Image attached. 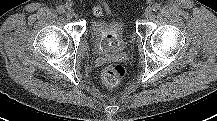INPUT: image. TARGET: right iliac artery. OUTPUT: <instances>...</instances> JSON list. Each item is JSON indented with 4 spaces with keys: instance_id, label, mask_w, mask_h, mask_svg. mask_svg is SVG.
Masks as SVG:
<instances>
[{
    "instance_id": "right-iliac-artery-1",
    "label": "right iliac artery",
    "mask_w": 217,
    "mask_h": 121,
    "mask_svg": "<svg viewBox=\"0 0 217 121\" xmlns=\"http://www.w3.org/2000/svg\"><path fill=\"white\" fill-rule=\"evenodd\" d=\"M57 12L60 13V14H62V13L65 12V8L63 6H58L57 7Z\"/></svg>"
}]
</instances>
